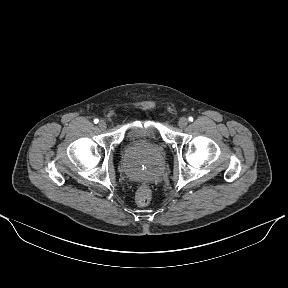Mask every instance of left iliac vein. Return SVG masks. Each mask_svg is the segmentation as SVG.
<instances>
[{"label": "left iliac vein", "mask_w": 288, "mask_h": 288, "mask_svg": "<svg viewBox=\"0 0 288 288\" xmlns=\"http://www.w3.org/2000/svg\"><path fill=\"white\" fill-rule=\"evenodd\" d=\"M188 124V120L185 117H181L178 121V126L180 128H185Z\"/></svg>", "instance_id": "4c4485c4"}]
</instances>
